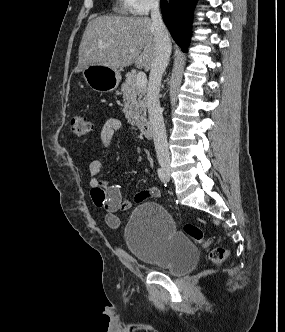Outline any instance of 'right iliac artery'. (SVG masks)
I'll return each mask as SVG.
<instances>
[{
	"mask_svg": "<svg viewBox=\"0 0 285 332\" xmlns=\"http://www.w3.org/2000/svg\"><path fill=\"white\" fill-rule=\"evenodd\" d=\"M157 173H158V176H159L160 180H161L163 183H165V186H166V181H167V179H166V174H165V172L163 171V169H162V168H158Z\"/></svg>",
	"mask_w": 285,
	"mask_h": 332,
	"instance_id": "82829eb1",
	"label": "right iliac artery"
}]
</instances>
